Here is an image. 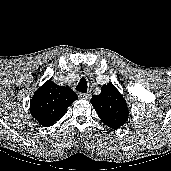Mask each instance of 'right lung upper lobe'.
<instances>
[{
    "instance_id": "right-lung-upper-lobe-1",
    "label": "right lung upper lobe",
    "mask_w": 171,
    "mask_h": 171,
    "mask_svg": "<svg viewBox=\"0 0 171 171\" xmlns=\"http://www.w3.org/2000/svg\"><path fill=\"white\" fill-rule=\"evenodd\" d=\"M77 99L76 93L69 87L58 86L48 80L34 93L30 113L43 126H52Z\"/></svg>"
}]
</instances>
